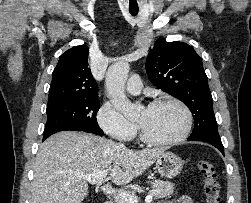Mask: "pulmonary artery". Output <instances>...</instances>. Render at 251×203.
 I'll return each instance as SVG.
<instances>
[{"instance_id": "1", "label": "pulmonary artery", "mask_w": 251, "mask_h": 203, "mask_svg": "<svg viewBox=\"0 0 251 203\" xmlns=\"http://www.w3.org/2000/svg\"><path fill=\"white\" fill-rule=\"evenodd\" d=\"M126 90L131 94H139L142 90V80L138 75L131 76L126 84Z\"/></svg>"}]
</instances>
